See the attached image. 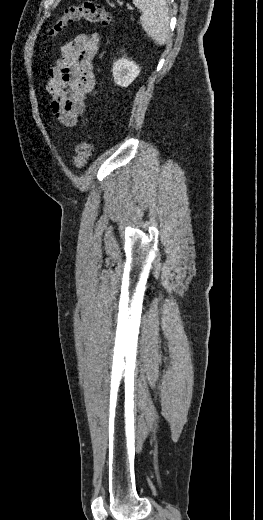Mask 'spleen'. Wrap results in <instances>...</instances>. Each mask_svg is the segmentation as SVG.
<instances>
[{
	"mask_svg": "<svg viewBox=\"0 0 263 520\" xmlns=\"http://www.w3.org/2000/svg\"><path fill=\"white\" fill-rule=\"evenodd\" d=\"M140 9L141 25L144 31L157 45L166 44L169 39V6L168 0H132Z\"/></svg>",
	"mask_w": 263,
	"mask_h": 520,
	"instance_id": "spleen-1",
	"label": "spleen"
}]
</instances>
